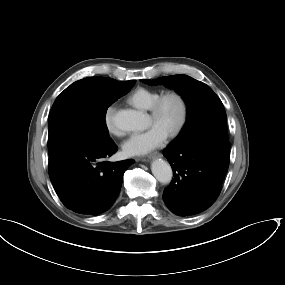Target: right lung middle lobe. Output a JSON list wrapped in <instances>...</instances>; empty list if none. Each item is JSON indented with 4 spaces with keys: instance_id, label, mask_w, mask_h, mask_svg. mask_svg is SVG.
Masks as SVG:
<instances>
[{
    "instance_id": "right-lung-middle-lobe-1",
    "label": "right lung middle lobe",
    "mask_w": 285,
    "mask_h": 285,
    "mask_svg": "<svg viewBox=\"0 0 285 285\" xmlns=\"http://www.w3.org/2000/svg\"><path fill=\"white\" fill-rule=\"evenodd\" d=\"M134 84V80L90 77L61 92L48 118L49 157L76 143L111 140L105 120L107 109Z\"/></svg>"
}]
</instances>
